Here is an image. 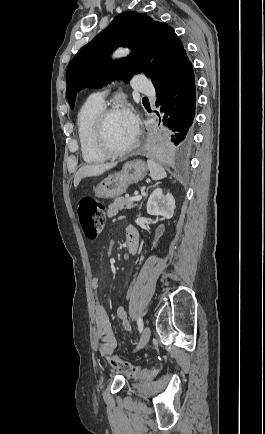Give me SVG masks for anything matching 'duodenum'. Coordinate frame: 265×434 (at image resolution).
Listing matches in <instances>:
<instances>
[{
	"instance_id": "410a0bca",
	"label": "duodenum",
	"mask_w": 265,
	"mask_h": 434,
	"mask_svg": "<svg viewBox=\"0 0 265 434\" xmlns=\"http://www.w3.org/2000/svg\"><path fill=\"white\" fill-rule=\"evenodd\" d=\"M138 248H139V244L137 243L136 239H134V240H132V241L129 242V244H128V250H129V253L131 255H135L137 253V251H138Z\"/></svg>"
}]
</instances>
